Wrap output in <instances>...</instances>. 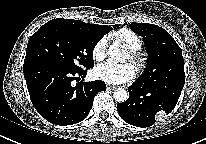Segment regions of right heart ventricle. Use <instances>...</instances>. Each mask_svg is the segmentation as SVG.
Here are the masks:
<instances>
[{
    "instance_id": "right-heart-ventricle-1",
    "label": "right heart ventricle",
    "mask_w": 206,
    "mask_h": 144,
    "mask_svg": "<svg viewBox=\"0 0 206 144\" xmlns=\"http://www.w3.org/2000/svg\"><path fill=\"white\" fill-rule=\"evenodd\" d=\"M112 37L124 43L132 51L139 50L142 47V40L130 29H119L112 34Z\"/></svg>"
}]
</instances>
